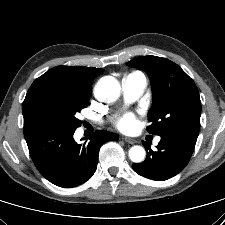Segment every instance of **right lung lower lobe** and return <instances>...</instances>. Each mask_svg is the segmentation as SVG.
Here are the masks:
<instances>
[{
    "mask_svg": "<svg viewBox=\"0 0 225 225\" xmlns=\"http://www.w3.org/2000/svg\"><path fill=\"white\" fill-rule=\"evenodd\" d=\"M75 129H63L50 124L24 126V136L31 158L38 171L51 183L71 188L92 177L101 145L118 140V135L96 131L88 143L77 144Z\"/></svg>",
    "mask_w": 225,
    "mask_h": 225,
    "instance_id": "98d812e1",
    "label": "right lung lower lobe"
}]
</instances>
